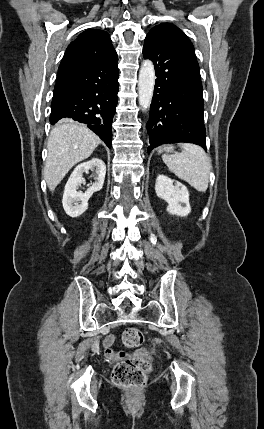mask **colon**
Segmentation results:
<instances>
[{
  "label": "colon",
  "mask_w": 264,
  "mask_h": 429,
  "mask_svg": "<svg viewBox=\"0 0 264 429\" xmlns=\"http://www.w3.org/2000/svg\"><path fill=\"white\" fill-rule=\"evenodd\" d=\"M143 340V333L134 327L127 328L122 335L123 344L127 348H137ZM150 369V360L142 354L124 355L114 366L111 378L119 387L138 389L145 385Z\"/></svg>",
  "instance_id": "1"
}]
</instances>
